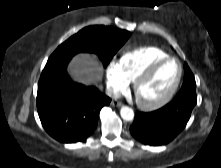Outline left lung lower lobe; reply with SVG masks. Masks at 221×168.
Here are the masks:
<instances>
[{
	"instance_id": "left-lung-lower-lobe-1",
	"label": "left lung lower lobe",
	"mask_w": 221,
	"mask_h": 168,
	"mask_svg": "<svg viewBox=\"0 0 221 168\" xmlns=\"http://www.w3.org/2000/svg\"><path fill=\"white\" fill-rule=\"evenodd\" d=\"M196 103V87H182L164 107L148 113L137 111L130 132L143 144L165 145L185 128Z\"/></svg>"
}]
</instances>
